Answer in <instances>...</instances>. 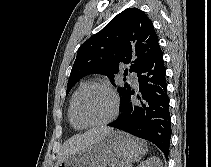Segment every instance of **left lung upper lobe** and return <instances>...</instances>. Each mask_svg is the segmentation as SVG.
Here are the masks:
<instances>
[{
	"mask_svg": "<svg viewBox=\"0 0 211 167\" xmlns=\"http://www.w3.org/2000/svg\"><path fill=\"white\" fill-rule=\"evenodd\" d=\"M158 47L157 34L146 14L138 8L125 9L79 48L66 95L88 74H105L115 85L114 74L120 62L130 64V72L137 73ZM129 89L130 85L125 83L118 91L123 96Z\"/></svg>",
	"mask_w": 211,
	"mask_h": 167,
	"instance_id": "obj_1",
	"label": "left lung upper lobe"
}]
</instances>
